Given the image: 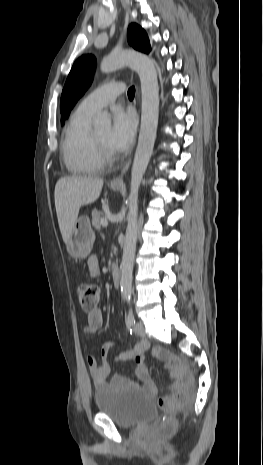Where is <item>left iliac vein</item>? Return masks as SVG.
Returning <instances> with one entry per match:
<instances>
[{
    "label": "left iliac vein",
    "mask_w": 263,
    "mask_h": 465,
    "mask_svg": "<svg viewBox=\"0 0 263 465\" xmlns=\"http://www.w3.org/2000/svg\"><path fill=\"white\" fill-rule=\"evenodd\" d=\"M134 331L137 335H139L140 337H144L145 336V328H144V325L142 322H136L134 324Z\"/></svg>",
    "instance_id": "obj_1"
}]
</instances>
